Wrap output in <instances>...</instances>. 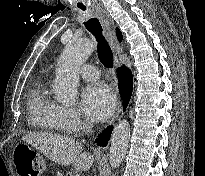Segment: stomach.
Here are the masks:
<instances>
[{
    "label": "stomach",
    "mask_w": 205,
    "mask_h": 176,
    "mask_svg": "<svg viewBox=\"0 0 205 176\" xmlns=\"http://www.w3.org/2000/svg\"><path fill=\"white\" fill-rule=\"evenodd\" d=\"M22 148H26V149H28L29 151L35 152L34 148L31 147V146H29V145H27V144H24V146H23Z\"/></svg>",
    "instance_id": "stomach-1"
}]
</instances>
